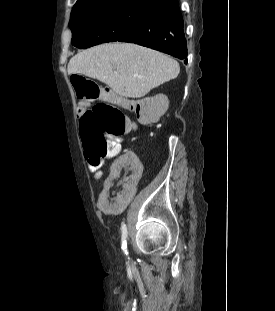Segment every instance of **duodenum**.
I'll use <instances>...</instances> for the list:
<instances>
[{
    "mask_svg": "<svg viewBox=\"0 0 275 311\" xmlns=\"http://www.w3.org/2000/svg\"><path fill=\"white\" fill-rule=\"evenodd\" d=\"M112 97H113V98H116V96H115V95H113Z\"/></svg>",
    "mask_w": 275,
    "mask_h": 311,
    "instance_id": "410a0bca",
    "label": "duodenum"
}]
</instances>
